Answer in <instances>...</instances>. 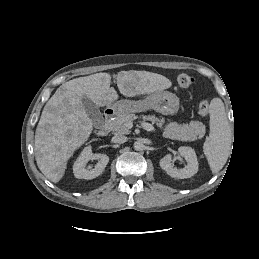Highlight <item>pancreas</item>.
Instances as JSON below:
<instances>
[{
  "instance_id": "cf45deb5",
  "label": "pancreas",
  "mask_w": 259,
  "mask_h": 259,
  "mask_svg": "<svg viewBox=\"0 0 259 259\" xmlns=\"http://www.w3.org/2000/svg\"><path fill=\"white\" fill-rule=\"evenodd\" d=\"M138 118L151 121L163 130V136L172 140L179 141H195L201 139L205 134V126L202 122L191 121L189 124H178L176 122H169L165 124L163 117H156L155 115H140L125 114L118 116L114 121L108 122L110 129L119 135L129 134L130 130L127 124Z\"/></svg>"
}]
</instances>
